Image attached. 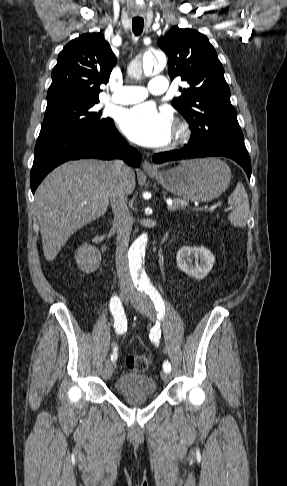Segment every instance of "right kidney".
Returning a JSON list of instances; mask_svg holds the SVG:
<instances>
[{"mask_svg":"<svg viewBox=\"0 0 287 486\" xmlns=\"http://www.w3.org/2000/svg\"><path fill=\"white\" fill-rule=\"evenodd\" d=\"M78 268L83 273L96 271L101 263V254L96 247L84 243L75 254Z\"/></svg>","mask_w":287,"mask_h":486,"instance_id":"obj_1","label":"right kidney"}]
</instances>
